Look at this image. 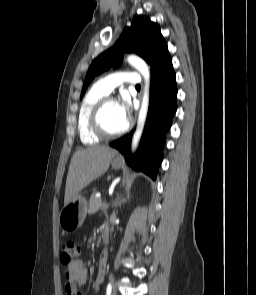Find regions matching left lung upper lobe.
Listing matches in <instances>:
<instances>
[{
    "label": "left lung upper lobe",
    "instance_id": "1",
    "mask_svg": "<svg viewBox=\"0 0 256 295\" xmlns=\"http://www.w3.org/2000/svg\"><path fill=\"white\" fill-rule=\"evenodd\" d=\"M124 52H135L150 66L151 74L172 64L159 27L145 16H135L131 27H126L115 45L100 54L91 64L86 74L81 98L93 78L111 66L117 68Z\"/></svg>",
    "mask_w": 256,
    "mask_h": 295
}]
</instances>
